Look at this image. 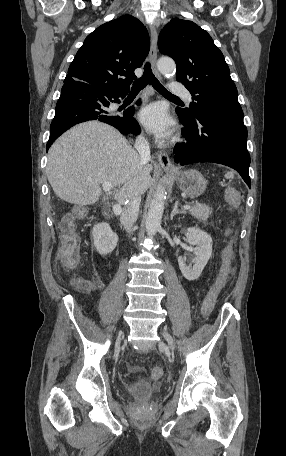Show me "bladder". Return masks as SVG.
I'll use <instances>...</instances> for the list:
<instances>
[{
  "label": "bladder",
  "instance_id": "1",
  "mask_svg": "<svg viewBox=\"0 0 286 456\" xmlns=\"http://www.w3.org/2000/svg\"><path fill=\"white\" fill-rule=\"evenodd\" d=\"M124 390L135 399L147 401L158 391V387L152 386L147 381L141 379L125 383Z\"/></svg>",
  "mask_w": 286,
  "mask_h": 456
}]
</instances>
